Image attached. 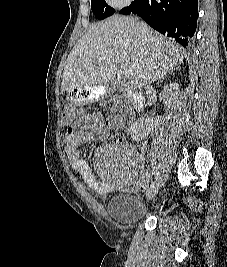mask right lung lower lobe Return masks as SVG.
I'll return each mask as SVG.
<instances>
[{
	"label": "right lung lower lobe",
	"instance_id": "obj_1",
	"mask_svg": "<svg viewBox=\"0 0 227 267\" xmlns=\"http://www.w3.org/2000/svg\"><path fill=\"white\" fill-rule=\"evenodd\" d=\"M198 0H134L120 14H137L152 28L174 38L182 46L197 26Z\"/></svg>",
	"mask_w": 227,
	"mask_h": 267
}]
</instances>
